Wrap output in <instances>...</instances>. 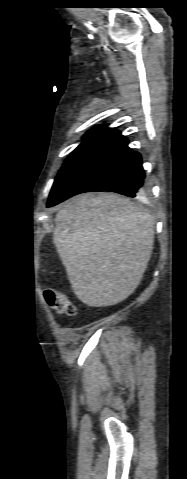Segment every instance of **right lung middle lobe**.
Wrapping results in <instances>:
<instances>
[{"label":"right lung middle lobe","mask_w":187,"mask_h":479,"mask_svg":"<svg viewBox=\"0 0 187 479\" xmlns=\"http://www.w3.org/2000/svg\"><path fill=\"white\" fill-rule=\"evenodd\" d=\"M82 143L69 155L50 192L47 206L86 169L108 154L126 137L119 131L94 127L83 136Z\"/></svg>","instance_id":"right-lung-middle-lobe-1"}]
</instances>
